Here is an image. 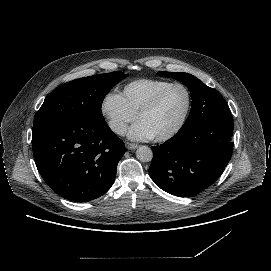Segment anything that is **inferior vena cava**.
Masks as SVG:
<instances>
[{"instance_id": "602c4592", "label": "inferior vena cava", "mask_w": 271, "mask_h": 271, "mask_svg": "<svg viewBox=\"0 0 271 271\" xmlns=\"http://www.w3.org/2000/svg\"><path fill=\"white\" fill-rule=\"evenodd\" d=\"M110 128L118 135L125 136L127 133V124L123 121H110Z\"/></svg>"}]
</instances>
